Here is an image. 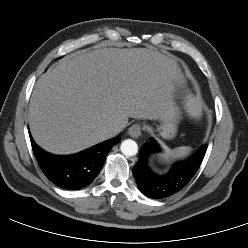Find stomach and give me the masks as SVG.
Returning <instances> with one entry per match:
<instances>
[{"mask_svg":"<svg viewBox=\"0 0 248 248\" xmlns=\"http://www.w3.org/2000/svg\"><path fill=\"white\" fill-rule=\"evenodd\" d=\"M179 107L175 104L168 115L161 119V124L157 127L159 135L164 139H172L177 132V124L182 118Z\"/></svg>","mask_w":248,"mask_h":248,"instance_id":"1","label":"stomach"}]
</instances>
